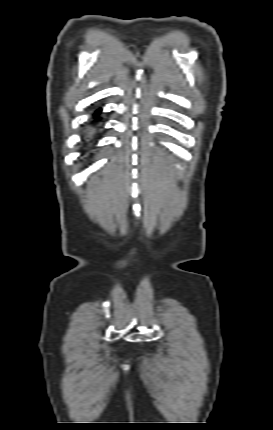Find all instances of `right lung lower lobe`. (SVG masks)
I'll list each match as a JSON object with an SVG mask.
<instances>
[{
    "instance_id": "obj_1",
    "label": "right lung lower lobe",
    "mask_w": 273,
    "mask_h": 430,
    "mask_svg": "<svg viewBox=\"0 0 273 430\" xmlns=\"http://www.w3.org/2000/svg\"><path fill=\"white\" fill-rule=\"evenodd\" d=\"M100 112H101V109H98L95 112V114L93 115L92 121H90V123H89V127H88L86 133L84 134V137H85L86 141H88V140H90V139L93 138V136H94V130L100 126L99 125V122H100V119H101L99 117Z\"/></svg>"
}]
</instances>
